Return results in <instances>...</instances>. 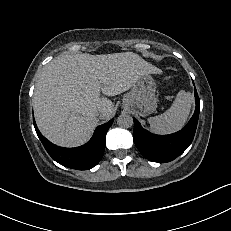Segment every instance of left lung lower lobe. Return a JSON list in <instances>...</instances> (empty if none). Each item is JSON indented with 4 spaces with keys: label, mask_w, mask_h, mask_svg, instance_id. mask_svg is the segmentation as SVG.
Returning <instances> with one entry per match:
<instances>
[{
    "label": "left lung lower lobe",
    "mask_w": 231,
    "mask_h": 231,
    "mask_svg": "<svg viewBox=\"0 0 231 231\" xmlns=\"http://www.w3.org/2000/svg\"><path fill=\"white\" fill-rule=\"evenodd\" d=\"M196 109L189 123L179 132L155 135L143 129L134 119L133 139L141 154L153 162H170L182 154L191 144L199 117L200 101L195 89Z\"/></svg>",
    "instance_id": "1"
}]
</instances>
